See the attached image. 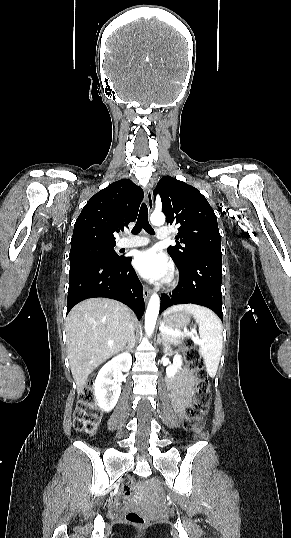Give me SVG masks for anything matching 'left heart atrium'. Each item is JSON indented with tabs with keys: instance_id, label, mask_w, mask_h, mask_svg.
I'll return each instance as SVG.
<instances>
[{
	"instance_id": "39dd6f15",
	"label": "left heart atrium",
	"mask_w": 291,
	"mask_h": 538,
	"mask_svg": "<svg viewBox=\"0 0 291 538\" xmlns=\"http://www.w3.org/2000/svg\"><path fill=\"white\" fill-rule=\"evenodd\" d=\"M133 264L138 273L149 280H166L172 272L170 262L155 249L138 252Z\"/></svg>"
}]
</instances>
